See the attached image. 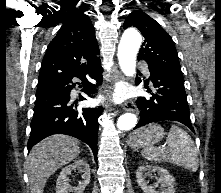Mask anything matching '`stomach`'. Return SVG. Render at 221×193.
Wrapping results in <instances>:
<instances>
[{
    "label": "stomach",
    "instance_id": "1",
    "mask_svg": "<svg viewBox=\"0 0 221 193\" xmlns=\"http://www.w3.org/2000/svg\"><path fill=\"white\" fill-rule=\"evenodd\" d=\"M164 136V129L157 123L141 127L129 135L128 144L132 148H143L152 146Z\"/></svg>",
    "mask_w": 221,
    "mask_h": 193
}]
</instances>
